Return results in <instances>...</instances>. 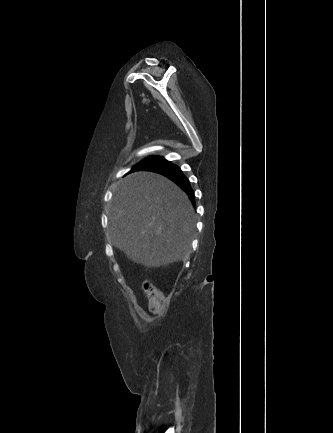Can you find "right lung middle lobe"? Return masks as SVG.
Segmentation results:
<instances>
[{"instance_id":"right-lung-middle-lobe-1","label":"right lung middle lobe","mask_w":333,"mask_h":433,"mask_svg":"<svg viewBox=\"0 0 333 433\" xmlns=\"http://www.w3.org/2000/svg\"><path fill=\"white\" fill-rule=\"evenodd\" d=\"M158 158H160V157H158V156H154V157L147 158V159L141 161V162H140L139 164H137L135 167H133V169L138 168V167H140L141 165H143V164H145V163L152 162V161H154V160H156V159H158Z\"/></svg>"}]
</instances>
